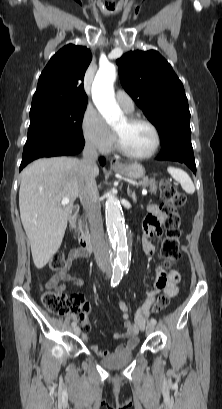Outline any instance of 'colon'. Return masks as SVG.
<instances>
[{"mask_svg": "<svg viewBox=\"0 0 222 409\" xmlns=\"http://www.w3.org/2000/svg\"><path fill=\"white\" fill-rule=\"evenodd\" d=\"M160 196L164 202L162 212L164 215L163 224L165 227V237L161 244V254L166 266L174 265L180 257V238L182 235L180 227V217L178 210L185 204V195L179 191L171 181L161 180L159 184ZM65 256L62 252H57L49 262V269L52 272H60L65 268ZM43 306L51 313L65 315L74 313L84 324V329L88 330L86 320L87 307L75 308L70 298L62 292L56 290H44L41 294ZM169 303V296L163 294L152 304L151 313L157 314Z\"/></svg>", "mask_w": 222, "mask_h": 409, "instance_id": "colon-1", "label": "colon"}]
</instances>
